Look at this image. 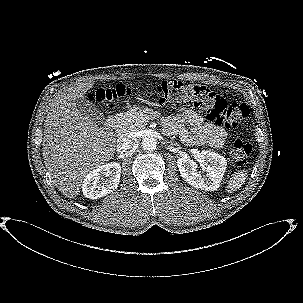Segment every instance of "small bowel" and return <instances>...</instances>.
Here are the masks:
<instances>
[{"mask_svg": "<svg viewBox=\"0 0 303 303\" xmlns=\"http://www.w3.org/2000/svg\"><path fill=\"white\" fill-rule=\"evenodd\" d=\"M165 130L169 134H178L188 145L208 144L215 148H221L227 136L222 127L205 122L200 114L187 108L180 109L175 116L166 119Z\"/></svg>", "mask_w": 303, "mask_h": 303, "instance_id": "1", "label": "small bowel"}]
</instances>
